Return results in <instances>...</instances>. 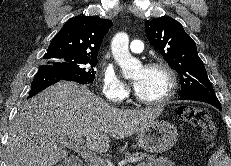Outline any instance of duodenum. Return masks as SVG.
<instances>
[{
  "label": "duodenum",
  "mask_w": 231,
  "mask_h": 166,
  "mask_svg": "<svg viewBox=\"0 0 231 166\" xmlns=\"http://www.w3.org/2000/svg\"><path fill=\"white\" fill-rule=\"evenodd\" d=\"M63 166H84V165L78 158H71Z\"/></svg>",
  "instance_id": "410a0bca"
}]
</instances>
